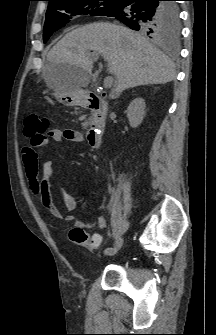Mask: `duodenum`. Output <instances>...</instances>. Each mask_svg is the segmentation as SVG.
I'll return each mask as SVG.
<instances>
[{"label":"duodenum","instance_id":"410a0bca","mask_svg":"<svg viewBox=\"0 0 216 335\" xmlns=\"http://www.w3.org/2000/svg\"><path fill=\"white\" fill-rule=\"evenodd\" d=\"M84 104L85 107L90 109L93 113L92 120L86 133L87 140L93 148H98L105 128V116L107 111L106 101L97 94H90L85 99Z\"/></svg>","mask_w":216,"mask_h":335}]
</instances>
